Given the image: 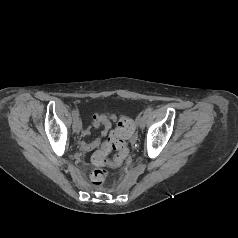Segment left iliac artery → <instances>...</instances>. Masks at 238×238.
<instances>
[{
  "mask_svg": "<svg viewBox=\"0 0 238 238\" xmlns=\"http://www.w3.org/2000/svg\"><path fill=\"white\" fill-rule=\"evenodd\" d=\"M152 108H147L146 110H145V112H144V115L147 117V116H149L151 113H152Z\"/></svg>",
  "mask_w": 238,
  "mask_h": 238,
  "instance_id": "1",
  "label": "left iliac artery"
}]
</instances>
